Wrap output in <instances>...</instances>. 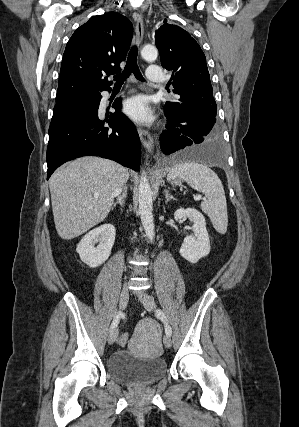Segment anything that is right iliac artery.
Masks as SVG:
<instances>
[{"label": "right iliac artery", "mask_w": 299, "mask_h": 427, "mask_svg": "<svg viewBox=\"0 0 299 427\" xmlns=\"http://www.w3.org/2000/svg\"><path fill=\"white\" fill-rule=\"evenodd\" d=\"M121 316H122V313H121V312H119V313L114 317L113 322H112L111 327H110V331H112L113 329H115V328L117 327V325H118V323H119V321H120Z\"/></svg>", "instance_id": "82829eb1"}]
</instances>
